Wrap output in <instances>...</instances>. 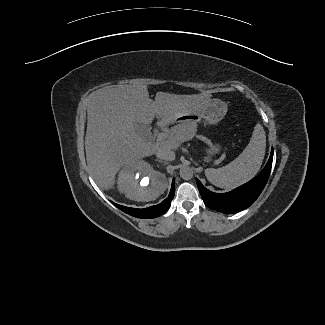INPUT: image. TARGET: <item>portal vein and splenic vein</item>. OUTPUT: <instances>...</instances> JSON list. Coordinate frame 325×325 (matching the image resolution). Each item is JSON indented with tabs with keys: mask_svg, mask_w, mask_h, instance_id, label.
<instances>
[{
	"mask_svg": "<svg viewBox=\"0 0 325 325\" xmlns=\"http://www.w3.org/2000/svg\"><path fill=\"white\" fill-rule=\"evenodd\" d=\"M167 138V134L165 133H158L157 140L164 141Z\"/></svg>",
	"mask_w": 325,
	"mask_h": 325,
	"instance_id": "obj_1",
	"label": "portal vein and splenic vein"
}]
</instances>
